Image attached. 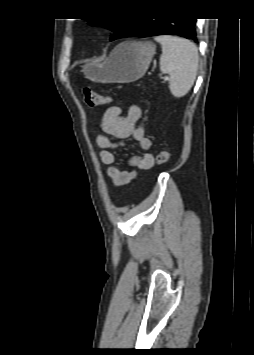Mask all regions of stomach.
<instances>
[{
  "label": "stomach",
  "instance_id": "stomach-1",
  "mask_svg": "<svg viewBox=\"0 0 254 355\" xmlns=\"http://www.w3.org/2000/svg\"><path fill=\"white\" fill-rule=\"evenodd\" d=\"M151 42L126 41L117 45L102 63H86L84 75L102 83H130L146 73L155 54Z\"/></svg>",
  "mask_w": 254,
  "mask_h": 355
}]
</instances>
